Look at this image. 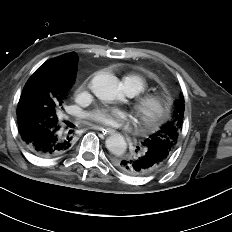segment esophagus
<instances>
[{
    "label": "esophagus",
    "instance_id": "esophagus-1",
    "mask_svg": "<svg viewBox=\"0 0 232 232\" xmlns=\"http://www.w3.org/2000/svg\"><path fill=\"white\" fill-rule=\"evenodd\" d=\"M93 129L102 132L103 135H107V134H110V133L114 132V130L103 128V127H100V126H94Z\"/></svg>",
    "mask_w": 232,
    "mask_h": 232
}]
</instances>
